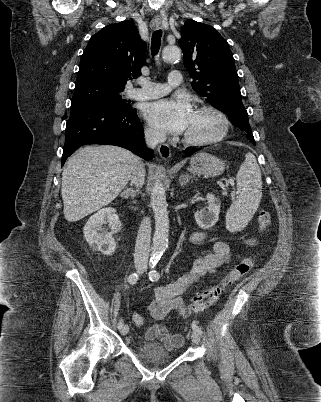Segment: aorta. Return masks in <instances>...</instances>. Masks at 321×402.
Masks as SVG:
<instances>
[{"instance_id":"aorta-1","label":"aorta","mask_w":321,"mask_h":402,"mask_svg":"<svg viewBox=\"0 0 321 402\" xmlns=\"http://www.w3.org/2000/svg\"><path fill=\"white\" fill-rule=\"evenodd\" d=\"M162 57L167 62H174L180 59L181 51L177 46H166L162 51ZM151 206L155 219V232L150 262L156 264L167 249L169 233L165 187L160 180H157L152 187Z\"/></svg>"}]
</instances>
